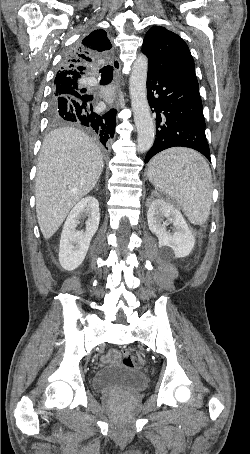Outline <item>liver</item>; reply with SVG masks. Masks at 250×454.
<instances>
[{
    "instance_id": "6515ba94",
    "label": "liver",
    "mask_w": 250,
    "mask_h": 454,
    "mask_svg": "<svg viewBox=\"0 0 250 454\" xmlns=\"http://www.w3.org/2000/svg\"><path fill=\"white\" fill-rule=\"evenodd\" d=\"M103 166L99 147L83 131L61 127L45 137L38 157L35 198L38 224L46 240L95 187Z\"/></svg>"
}]
</instances>
